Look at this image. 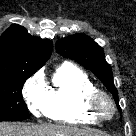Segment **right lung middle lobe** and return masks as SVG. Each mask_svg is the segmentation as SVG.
Returning a JSON list of instances; mask_svg holds the SVG:
<instances>
[{
  "label": "right lung middle lobe",
  "mask_w": 136,
  "mask_h": 136,
  "mask_svg": "<svg viewBox=\"0 0 136 136\" xmlns=\"http://www.w3.org/2000/svg\"><path fill=\"white\" fill-rule=\"evenodd\" d=\"M31 75L19 72L0 75V122L20 121L29 117L22 98V87Z\"/></svg>",
  "instance_id": "right-lung-middle-lobe-1"
}]
</instances>
